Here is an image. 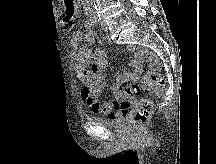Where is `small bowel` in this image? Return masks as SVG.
Instances as JSON below:
<instances>
[{
	"mask_svg": "<svg viewBox=\"0 0 216 164\" xmlns=\"http://www.w3.org/2000/svg\"><path fill=\"white\" fill-rule=\"evenodd\" d=\"M89 42L95 38L91 32L85 34ZM70 48L73 55V67L82 83L81 97L94 113L106 115L108 118L117 119L127 115L131 109V103L122 97L121 88L127 82L135 81L142 72V57L144 51L136 48L131 63L132 70L116 75V83L110 87L114 95L113 102L100 103L97 97L103 92V71L107 66V60L102 50L94 53L91 48L83 44V35L76 31L72 34ZM90 64V68L87 66Z\"/></svg>",
	"mask_w": 216,
	"mask_h": 164,
	"instance_id": "c3829d8e",
	"label": "small bowel"
}]
</instances>
